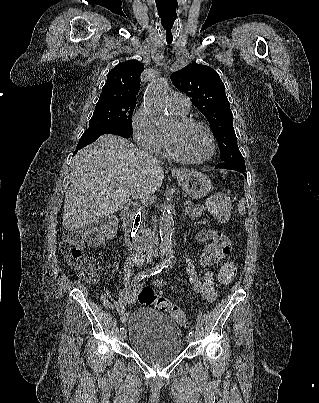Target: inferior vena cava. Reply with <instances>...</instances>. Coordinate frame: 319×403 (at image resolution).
Instances as JSON below:
<instances>
[{
  "label": "inferior vena cava",
  "instance_id": "602c4592",
  "mask_svg": "<svg viewBox=\"0 0 319 403\" xmlns=\"http://www.w3.org/2000/svg\"><path fill=\"white\" fill-rule=\"evenodd\" d=\"M158 247V237L156 235V229L154 228L152 235L149 237L148 240V249L150 251H156Z\"/></svg>",
  "mask_w": 319,
  "mask_h": 403
}]
</instances>
